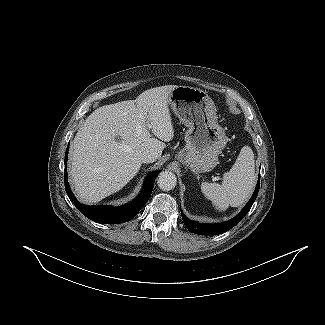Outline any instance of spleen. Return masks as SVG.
<instances>
[{
  "instance_id": "spleen-1",
  "label": "spleen",
  "mask_w": 325,
  "mask_h": 325,
  "mask_svg": "<svg viewBox=\"0 0 325 325\" xmlns=\"http://www.w3.org/2000/svg\"><path fill=\"white\" fill-rule=\"evenodd\" d=\"M254 161L252 149L244 146L233 167L224 173L222 185L203 182L202 193L219 210H225L229 205L232 207L242 205L254 189L256 181Z\"/></svg>"
}]
</instances>
